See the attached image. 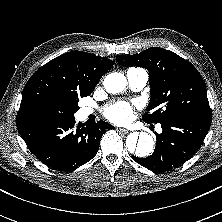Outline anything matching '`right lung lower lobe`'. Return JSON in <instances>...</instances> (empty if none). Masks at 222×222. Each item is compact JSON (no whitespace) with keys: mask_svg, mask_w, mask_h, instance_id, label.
<instances>
[{"mask_svg":"<svg viewBox=\"0 0 222 222\" xmlns=\"http://www.w3.org/2000/svg\"><path fill=\"white\" fill-rule=\"evenodd\" d=\"M17 129L41 162L53 169L71 171L96 155L101 136L114 126L104 121L75 126V118L35 117L18 121Z\"/></svg>","mask_w":222,"mask_h":222,"instance_id":"98d812e1","label":"right lung lower lobe"}]
</instances>
